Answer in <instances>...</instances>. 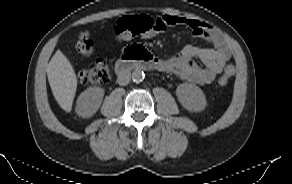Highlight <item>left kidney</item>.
<instances>
[{
    "label": "left kidney",
    "mask_w": 292,
    "mask_h": 184,
    "mask_svg": "<svg viewBox=\"0 0 292 184\" xmlns=\"http://www.w3.org/2000/svg\"><path fill=\"white\" fill-rule=\"evenodd\" d=\"M176 95L181 105L192 112H200L207 105L203 91L194 84L182 83L176 89Z\"/></svg>",
    "instance_id": "left-kidney-1"
}]
</instances>
